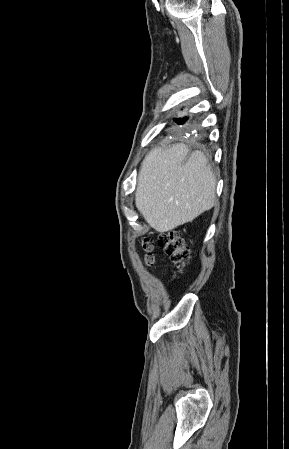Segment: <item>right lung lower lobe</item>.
Segmentation results:
<instances>
[{"mask_svg":"<svg viewBox=\"0 0 289 449\" xmlns=\"http://www.w3.org/2000/svg\"><path fill=\"white\" fill-rule=\"evenodd\" d=\"M186 121V118L175 120L178 124H183Z\"/></svg>","mask_w":289,"mask_h":449,"instance_id":"obj_1","label":"right lung lower lobe"}]
</instances>
